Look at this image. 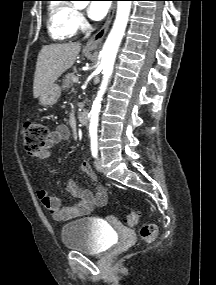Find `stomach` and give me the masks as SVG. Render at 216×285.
Instances as JSON below:
<instances>
[{"label": "stomach", "instance_id": "stomach-1", "mask_svg": "<svg viewBox=\"0 0 216 285\" xmlns=\"http://www.w3.org/2000/svg\"><path fill=\"white\" fill-rule=\"evenodd\" d=\"M61 95V87L58 84H53L46 91L41 93L39 101L44 106H53Z\"/></svg>", "mask_w": 216, "mask_h": 285}]
</instances>
